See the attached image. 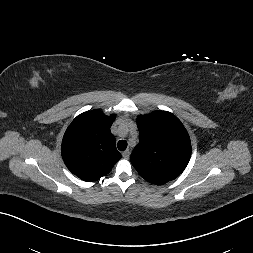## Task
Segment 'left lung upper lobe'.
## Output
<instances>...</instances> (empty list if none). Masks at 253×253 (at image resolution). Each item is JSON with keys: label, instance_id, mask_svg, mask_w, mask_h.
Wrapping results in <instances>:
<instances>
[{"label": "left lung upper lobe", "instance_id": "5c2ea615", "mask_svg": "<svg viewBox=\"0 0 253 253\" xmlns=\"http://www.w3.org/2000/svg\"><path fill=\"white\" fill-rule=\"evenodd\" d=\"M140 141L131 163L148 182L162 185L177 178L191 157L189 135L172 113L155 111L137 118Z\"/></svg>", "mask_w": 253, "mask_h": 253}]
</instances>
